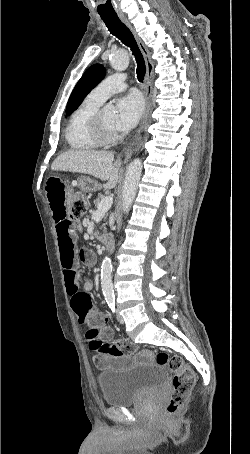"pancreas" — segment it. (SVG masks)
I'll return each instance as SVG.
<instances>
[{
  "label": "pancreas",
  "instance_id": "cf45deb5",
  "mask_svg": "<svg viewBox=\"0 0 250 454\" xmlns=\"http://www.w3.org/2000/svg\"><path fill=\"white\" fill-rule=\"evenodd\" d=\"M105 196L103 194H99L94 203L98 205V203L104 198Z\"/></svg>",
  "mask_w": 250,
  "mask_h": 454
}]
</instances>
